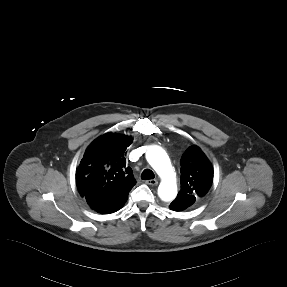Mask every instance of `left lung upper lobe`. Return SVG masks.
Segmentation results:
<instances>
[{"instance_id": "1", "label": "left lung upper lobe", "mask_w": 287, "mask_h": 287, "mask_svg": "<svg viewBox=\"0 0 287 287\" xmlns=\"http://www.w3.org/2000/svg\"><path fill=\"white\" fill-rule=\"evenodd\" d=\"M213 168L202 150L190 146L181 158V190L170 208L182 211L204 196L212 185Z\"/></svg>"}]
</instances>
